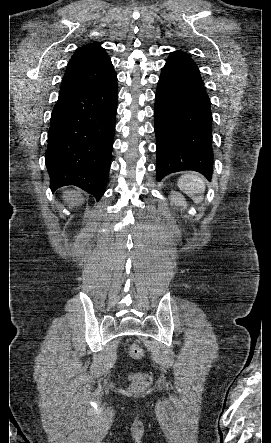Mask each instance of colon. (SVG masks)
Returning a JSON list of instances; mask_svg holds the SVG:
<instances>
[{"instance_id":"5ec220e1","label":"colon","mask_w":271,"mask_h":443,"mask_svg":"<svg viewBox=\"0 0 271 443\" xmlns=\"http://www.w3.org/2000/svg\"><path fill=\"white\" fill-rule=\"evenodd\" d=\"M127 353L132 360H139L144 355L143 348L137 343L130 344ZM129 378L131 380L130 389L132 392H141L151 383L150 376L144 372H131Z\"/></svg>"}]
</instances>
